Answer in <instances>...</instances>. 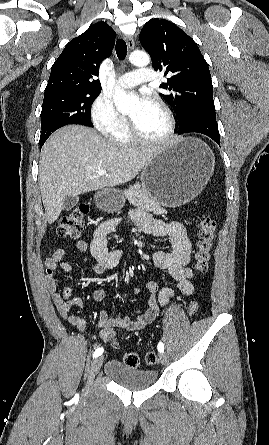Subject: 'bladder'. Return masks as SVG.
Segmentation results:
<instances>
[{"mask_svg":"<svg viewBox=\"0 0 269 445\" xmlns=\"http://www.w3.org/2000/svg\"><path fill=\"white\" fill-rule=\"evenodd\" d=\"M105 374L118 385L130 390H143L154 385L158 374L153 369H135L123 365L118 360H110L105 365Z\"/></svg>","mask_w":269,"mask_h":445,"instance_id":"bladder-1","label":"bladder"}]
</instances>
